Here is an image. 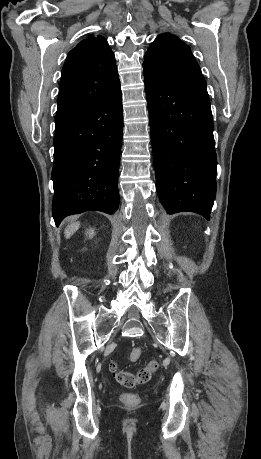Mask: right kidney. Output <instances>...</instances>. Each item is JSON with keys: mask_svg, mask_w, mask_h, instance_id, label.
<instances>
[{"mask_svg": "<svg viewBox=\"0 0 261 459\" xmlns=\"http://www.w3.org/2000/svg\"><path fill=\"white\" fill-rule=\"evenodd\" d=\"M88 234H89V237H92L94 235V230L93 229H90L88 231Z\"/></svg>", "mask_w": 261, "mask_h": 459, "instance_id": "1", "label": "right kidney"}]
</instances>
